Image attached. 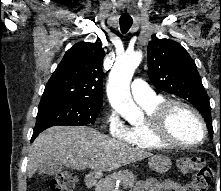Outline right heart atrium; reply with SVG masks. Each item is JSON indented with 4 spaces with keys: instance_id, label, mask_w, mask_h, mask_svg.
I'll return each mask as SVG.
<instances>
[{
    "instance_id": "obj_1",
    "label": "right heart atrium",
    "mask_w": 221,
    "mask_h": 191,
    "mask_svg": "<svg viewBox=\"0 0 221 191\" xmlns=\"http://www.w3.org/2000/svg\"><path fill=\"white\" fill-rule=\"evenodd\" d=\"M105 123L112 137L124 141L128 138L129 128L113 109L108 110L105 117Z\"/></svg>"
}]
</instances>
